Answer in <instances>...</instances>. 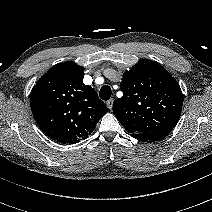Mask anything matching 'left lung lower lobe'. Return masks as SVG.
Instances as JSON below:
<instances>
[{
  "mask_svg": "<svg viewBox=\"0 0 212 212\" xmlns=\"http://www.w3.org/2000/svg\"><path fill=\"white\" fill-rule=\"evenodd\" d=\"M168 133L166 132H144L140 134H131V136L142 142H155L164 139Z\"/></svg>",
  "mask_w": 212,
  "mask_h": 212,
  "instance_id": "obj_1",
  "label": "left lung lower lobe"
}]
</instances>
